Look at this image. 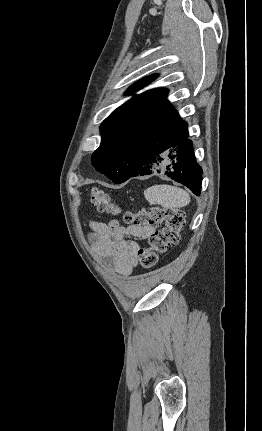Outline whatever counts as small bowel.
Returning <instances> with one entry per match:
<instances>
[{
  "instance_id": "obj_1",
  "label": "small bowel",
  "mask_w": 262,
  "mask_h": 431,
  "mask_svg": "<svg viewBox=\"0 0 262 431\" xmlns=\"http://www.w3.org/2000/svg\"><path fill=\"white\" fill-rule=\"evenodd\" d=\"M92 250L102 267L114 268L120 276H129L138 264L140 245L126 242L125 237L139 241L148 239L154 232L150 227L121 226L117 221L109 223L91 221Z\"/></svg>"
}]
</instances>
